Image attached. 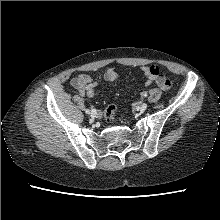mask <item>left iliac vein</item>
<instances>
[{
	"mask_svg": "<svg viewBox=\"0 0 220 220\" xmlns=\"http://www.w3.org/2000/svg\"><path fill=\"white\" fill-rule=\"evenodd\" d=\"M146 109H147V104L143 103V104L140 106V111H141V112H144Z\"/></svg>",
	"mask_w": 220,
	"mask_h": 220,
	"instance_id": "obj_1",
	"label": "left iliac vein"
}]
</instances>
